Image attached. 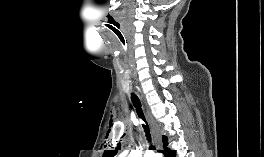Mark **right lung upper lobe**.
Listing matches in <instances>:
<instances>
[{
  "instance_id": "right-lung-upper-lobe-1",
  "label": "right lung upper lobe",
  "mask_w": 264,
  "mask_h": 157,
  "mask_svg": "<svg viewBox=\"0 0 264 157\" xmlns=\"http://www.w3.org/2000/svg\"><path fill=\"white\" fill-rule=\"evenodd\" d=\"M167 137L163 136L164 148L166 147ZM121 144H118L115 150H106L103 154V157H114L117 154V151L120 150Z\"/></svg>"
}]
</instances>
